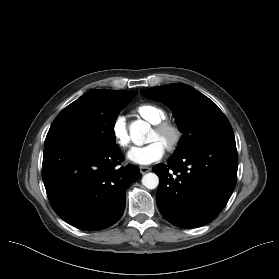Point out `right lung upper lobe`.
<instances>
[{"instance_id": "obj_1", "label": "right lung upper lobe", "mask_w": 279, "mask_h": 279, "mask_svg": "<svg viewBox=\"0 0 279 279\" xmlns=\"http://www.w3.org/2000/svg\"><path fill=\"white\" fill-rule=\"evenodd\" d=\"M90 93L97 95L102 98H123V97H134L135 93L130 91H118V90H93Z\"/></svg>"}]
</instances>
